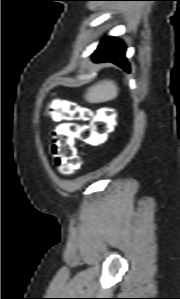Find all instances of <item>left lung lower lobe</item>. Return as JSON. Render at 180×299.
<instances>
[{"label":"left lung lower lobe","instance_id":"1","mask_svg":"<svg viewBox=\"0 0 180 299\" xmlns=\"http://www.w3.org/2000/svg\"><path fill=\"white\" fill-rule=\"evenodd\" d=\"M125 50V45L120 39L106 37L101 40L93 55V60L96 62H112L130 72L129 65L124 55Z\"/></svg>","mask_w":180,"mask_h":299}]
</instances>
